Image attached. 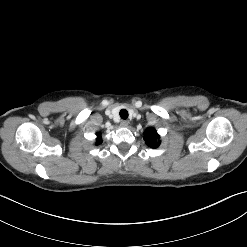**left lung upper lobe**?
Wrapping results in <instances>:
<instances>
[{
	"label": "left lung upper lobe",
	"mask_w": 247,
	"mask_h": 247,
	"mask_svg": "<svg viewBox=\"0 0 247 247\" xmlns=\"http://www.w3.org/2000/svg\"><path fill=\"white\" fill-rule=\"evenodd\" d=\"M159 135L154 128L146 129L144 139L146 144L151 148H157L160 145Z\"/></svg>",
	"instance_id": "obj_1"
}]
</instances>
